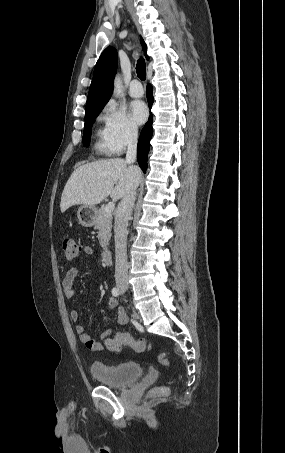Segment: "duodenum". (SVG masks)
Wrapping results in <instances>:
<instances>
[{"label": "duodenum", "instance_id": "410a0bca", "mask_svg": "<svg viewBox=\"0 0 285 453\" xmlns=\"http://www.w3.org/2000/svg\"><path fill=\"white\" fill-rule=\"evenodd\" d=\"M102 258L106 264H111L112 260H113V254L110 250L107 249V250L103 251Z\"/></svg>", "mask_w": 285, "mask_h": 453}]
</instances>
